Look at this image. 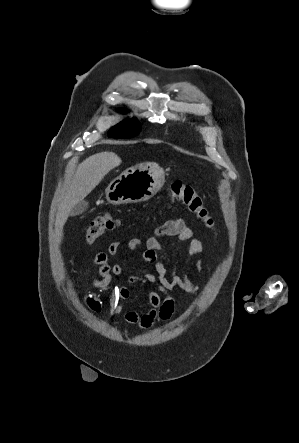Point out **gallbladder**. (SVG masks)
Instances as JSON below:
<instances>
[{
    "label": "gallbladder",
    "mask_w": 299,
    "mask_h": 443,
    "mask_svg": "<svg viewBox=\"0 0 299 443\" xmlns=\"http://www.w3.org/2000/svg\"><path fill=\"white\" fill-rule=\"evenodd\" d=\"M87 208H88V202L82 200L72 207V209L70 211V215L71 216L80 215V214L84 213L87 210Z\"/></svg>",
    "instance_id": "gallbladder-1"
}]
</instances>
